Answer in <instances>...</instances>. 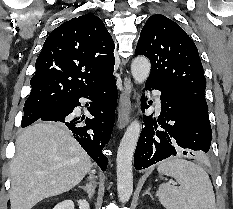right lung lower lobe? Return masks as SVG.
<instances>
[{"label": "right lung lower lobe", "instance_id": "right-lung-lower-lobe-1", "mask_svg": "<svg viewBox=\"0 0 233 209\" xmlns=\"http://www.w3.org/2000/svg\"><path fill=\"white\" fill-rule=\"evenodd\" d=\"M82 97L91 100L88 111L94 118L72 115L74 108L81 105L79 99ZM117 97L115 78L112 76L93 89L65 99L37 121H54L68 127L84 150L105 171L107 158L102 149L111 136Z\"/></svg>", "mask_w": 233, "mask_h": 209}]
</instances>
